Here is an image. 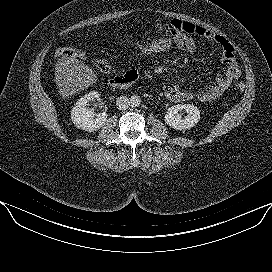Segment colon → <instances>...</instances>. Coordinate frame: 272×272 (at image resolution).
<instances>
[{
	"instance_id": "colon-1",
	"label": "colon",
	"mask_w": 272,
	"mask_h": 272,
	"mask_svg": "<svg viewBox=\"0 0 272 272\" xmlns=\"http://www.w3.org/2000/svg\"><path fill=\"white\" fill-rule=\"evenodd\" d=\"M123 44L130 51L142 56L168 55L179 51L176 41L169 37L127 38L123 40ZM55 55L71 60H86L88 58L84 51L72 47L59 48ZM94 64L95 68L102 73H108L111 69L106 60H97ZM236 88L239 91H244L245 85L243 82H239L236 84Z\"/></svg>"
}]
</instances>
